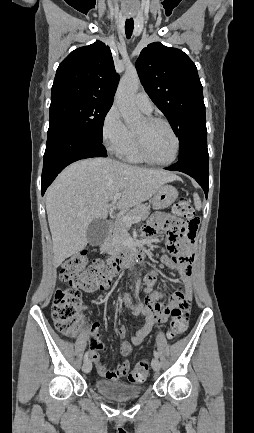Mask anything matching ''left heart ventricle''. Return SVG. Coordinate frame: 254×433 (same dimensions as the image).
<instances>
[{"mask_svg":"<svg viewBox=\"0 0 254 433\" xmlns=\"http://www.w3.org/2000/svg\"><path fill=\"white\" fill-rule=\"evenodd\" d=\"M141 135L150 156L157 161L170 160L175 152V140L169 130L161 125H149L144 119L135 129Z\"/></svg>","mask_w":254,"mask_h":433,"instance_id":"left-heart-ventricle-1","label":"left heart ventricle"}]
</instances>
